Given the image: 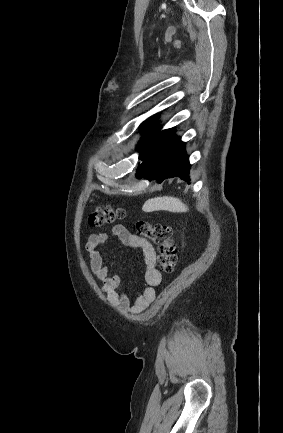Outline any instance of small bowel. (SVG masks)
<instances>
[{"mask_svg":"<svg viewBox=\"0 0 283 433\" xmlns=\"http://www.w3.org/2000/svg\"><path fill=\"white\" fill-rule=\"evenodd\" d=\"M110 236L117 238L126 247L139 249L143 255L146 287L133 303L125 293L118 290L121 285V276L110 274L109 264L98 250ZM85 249L89 253L92 274L101 283V291L106 295L113 308L126 315L138 314L144 311L154 300V288L160 284L162 276L157 267L155 249L149 241L131 234L123 225H115L109 233L90 234Z\"/></svg>","mask_w":283,"mask_h":433,"instance_id":"c3829d8e","label":"small bowel"}]
</instances>
